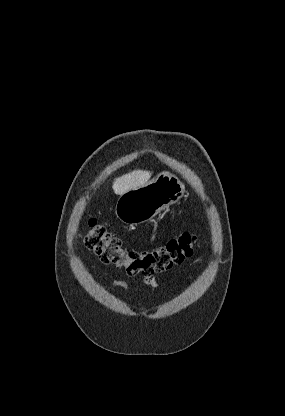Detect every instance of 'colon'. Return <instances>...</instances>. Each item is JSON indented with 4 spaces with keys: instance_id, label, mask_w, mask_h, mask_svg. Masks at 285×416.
Instances as JSON below:
<instances>
[{
    "instance_id": "obj_1",
    "label": "colon",
    "mask_w": 285,
    "mask_h": 416,
    "mask_svg": "<svg viewBox=\"0 0 285 416\" xmlns=\"http://www.w3.org/2000/svg\"><path fill=\"white\" fill-rule=\"evenodd\" d=\"M84 243L102 262L123 268L130 276L148 277L166 271L191 256L197 245V236L183 233L150 250H127L119 238L91 220Z\"/></svg>"
}]
</instances>
